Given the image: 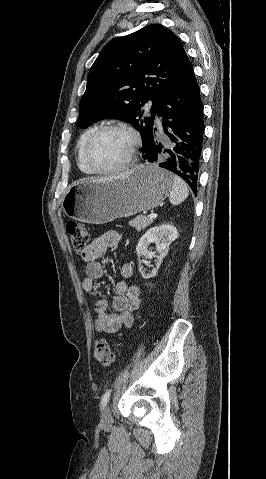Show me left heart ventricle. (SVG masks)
I'll return each mask as SVG.
<instances>
[{"instance_id":"b2bd125f","label":"left heart ventricle","mask_w":266,"mask_h":479,"mask_svg":"<svg viewBox=\"0 0 266 479\" xmlns=\"http://www.w3.org/2000/svg\"><path fill=\"white\" fill-rule=\"evenodd\" d=\"M131 138L121 131H106L94 141L89 157L98 169H109L121 163L127 156Z\"/></svg>"}]
</instances>
